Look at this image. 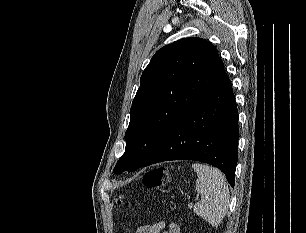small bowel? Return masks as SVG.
I'll use <instances>...</instances> for the list:
<instances>
[{
    "label": "small bowel",
    "mask_w": 306,
    "mask_h": 233,
    "mask_svg": "<svg viewBox=\"0 0 306 233\" xmlns=\"http://www.w3.org/2000/svg\"><path fill=\"white\" fill-rule=\"evenodd\" d=\"M136 233H180V228L173 222L167 225L164 221H158L139 227Z\"/></svg>",
    "instance_id": "small-bowel-1"
}]
</instances>
